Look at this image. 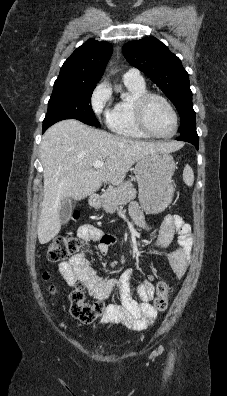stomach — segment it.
I'll list each match as a JSON object with an SVG mask.
<instances>
[{"label": "stomach", "mask_w": 227, "mask_h": 396, "mask_svg": "<svg viewBox=\"0 0 227 396\" xmlns=\"http://www.w3.org/2000/svg\"><path fill=\"white\" fill-rule=\"evenodd\" d=\"M175 167L173 157L163 151L150 153L137 161L134 172L139 187L138 198L145 212L160 213L171 203Z\"/></svg>", "instance_id": "1"}]
</instances>
